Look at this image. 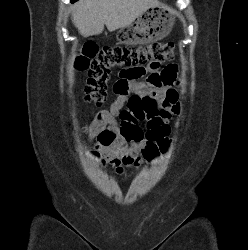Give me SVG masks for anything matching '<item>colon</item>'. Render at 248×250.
Returning <instances> with one entry per match:
<instances>
[{
	"label": "colon",
	"instance_id": "obj_1",
	"mask_svg": "<svg viewBox=\"0 0 248 250\" xmlns=\"http://www.w3.org/2000/svg\"><path fill=\"white\" fill-rule=\"evenodd\" d=\"M174 55V45L170 42H156L145 46H104L99 48L95 43L83 44L75 59L78 71H86L88 80L84 89V98L94 105L102 104L108 95L110 71L114 68H128L125 74L138 78L144 66L158 68L161 63ZM174 76L168 70L155 72L149 77V83L159 89L172 84ZM166 101L175 103L177 97L172 89L165 92ZM129 109L138 120H144L152 115L160 106V102L153 96H139L132 94L128 103ZM155 139L156 151H165L168 145L167 136Z\"/></svg>",
	"mask_w": 248,
	"mask_h": 250
}]
</instances>
